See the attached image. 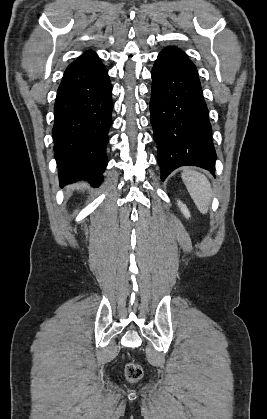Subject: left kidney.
I'll use <instances>...</instances> for the list:
<instances>
[{
  "mask_svg": "<svg viewBox=\"0 0 267 419\" xmlns=\"http://www.w3.org/2000/svg\"><path fill=\"white\" fill-rule=\"evenodd\" d=\"M178 206H179L181 212L183 213V215L186 218H189L190 217V212H189L188 208L186 207V205L183 204L181 201H178Z\"/></svg>",
  "mask_w": 267,
  "mask_h": 419,
  "instance_id": "5707ae66",
  "label": "left kidney"
}]
</instances>
